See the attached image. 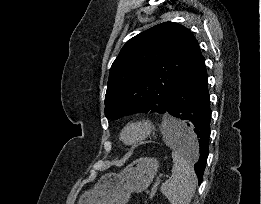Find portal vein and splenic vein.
<instances>
[{
    "label": "portal vein and splenic vein",
    "mask_w": 261,
    "mask_h": 204,
    "mask_svg": "<svg viewBox=\"0 0 261 204\" xmlns=\"http://www.w3.org/2000/svg\"><path fill=\"white\" fill-rule=\"evenodd\" d=\"M157 185H158V183H155L154 186L151 188V193H150L149 199H153V197L155 196L156 191H157Z\"/></svg>",
    "instance_id": "obj_1"
}]
</instances>
